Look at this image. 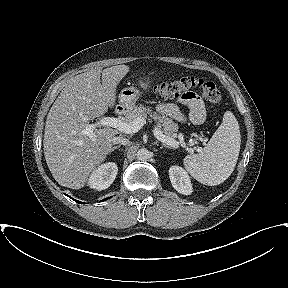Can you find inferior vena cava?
Here are the masks:
<instances>
[{"instance_id": "1", "label": "inferior vena cava", "mask_w": 288, "mask_h": 288, "mask_svg": "<svg viewBox=\"0 0 288 288\" xmlns=\"http://www.w3.org/2000/svg\"><path fill=\"white\" fill-rule=\"evenodd\" d=\"M112 143L119 144V145H127L129 143V140L122 136H118L112 139Z\"/></svg>"}]
</instances>
